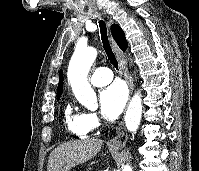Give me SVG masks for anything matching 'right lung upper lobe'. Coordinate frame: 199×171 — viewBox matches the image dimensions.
Instances as JSON below:
<instances>
[{
	"mask_svg": "<svg viewBox=\"0 0 199 171\" xmlns=\"http://www.w3.org/2000/svg\"><path fill=\"white\" fill-rule=\"evenodd\" d=\"M111 32H112L114 40L117 42L119 47L122 50H126L128 44H127V41L125 38V34H124L123 30L121 29V27L119 25L113 24L111 26ZM62 90H63V72H62V70H60L59 84H58V89H57V98H60V96L62 94Z\"/></svg>",
	"mask_w": 199,
	"mask_h": 171,
	"instance_id": "1",
	"label": "right lung upper lobe"
}]
</instances>
